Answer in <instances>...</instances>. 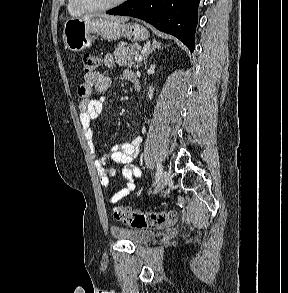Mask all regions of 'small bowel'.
I'll use <instances>...</instances> for the list:
<instances>
[{"mask_svg":"<svg viewBox=\"0 0 288 293\" xmlns=\"http://www.w3.org/2000/svg\"><path fill=\"white\" fill-rule=\"evenodd\" d=\"M103 63L107 69H111L115 65V60L112 54H106L103 58ZM124 77L132 82L136 78L132 71H125ZM111 85V78L105 72H94L84 75V82L78 87V94L81 98L78 111L79 119L83 129V133L87 144L91 151H95L94 129L93 125L103 112L105 105V97H92L94 90L103 93L108 90ZM141 138L136 137L130 142H125L119 145H113L110 151L102 154L96 160V169L100 178L101 185L105 189H110V181L116 172L109 168L111 161L123 164V177L126 183L120 186L116 191L108 192V201L110 204H116L124 197L136 191L135 179L142 180L143 175L141 170L134 165L140 149Z\"/></svg>","mask_w":288,"mask_h":293,"instance_id":"1","label":"small bowel"}]
</instances>
